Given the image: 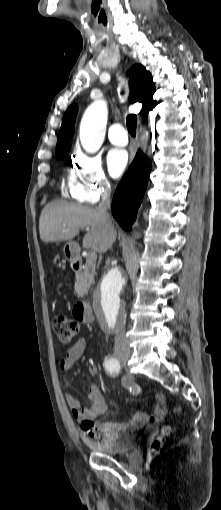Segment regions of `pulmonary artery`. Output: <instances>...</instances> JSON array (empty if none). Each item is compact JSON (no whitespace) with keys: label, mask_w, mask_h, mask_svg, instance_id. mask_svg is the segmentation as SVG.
Listing matches in <instances>:
<instances>
[{"label":"pulmonary artery","mask_w":221,"mask_h":510,"mask_svg":"<svg viewBox=\"0 0 221 510\" xmlns=\"http://www.w3.org/2000/svg\"><path fill=\"white\" fill-rule=\"evenodd\" d=\"M109 140L116 146H126L128 144L127 131L122 124L114 123L110 127Z\"/></svg>","instance_id":"e3ab8cb5"}]
</instances>
